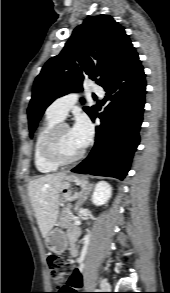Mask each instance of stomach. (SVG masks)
Listing matches in <instances>:
<instances>
[{
    "instance_id": "stomach-1",
    "label": "stomach",
    "mask_w": 170,
    "mask_h": 293,
    "mask_svg": "<svg viewBox=\"0 0 170 293\" xmlns=\"http://www.w3.org/2000/svg\"><path fill=\"white\" fill-rule=\"evenodd\" d=\"M90 185L87 178L76 174H67L60 188L62 202L81 199L88 192ZM46 247L56 254L63 253L67 248V238L60 229L50 230L45 238Z\"/></svg>"
}]
</instances>
